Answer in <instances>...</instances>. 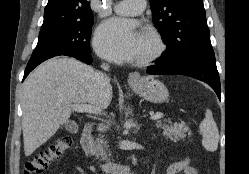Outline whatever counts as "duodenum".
<instances>
[{"label": "duodenum", "instance_id": "410a0bca", "mask_svg": "<svg viewBox=\"0 0 249 174\" xmlns=\"http://www.w3.org/2000/svg\"><path fill=\"white\" fill-rule=\"evenodd\" d=\"M93 130L94 126L91 122L84 124L80 143L86 158L92 155ZM98 170L103 174H130L131 167L127 164L106 163L99 165Z\"/></svg>", "mask_w": 249, "mask_h": 174}]
</instances>
